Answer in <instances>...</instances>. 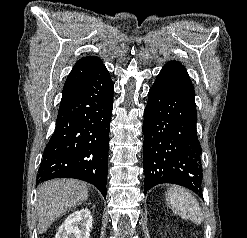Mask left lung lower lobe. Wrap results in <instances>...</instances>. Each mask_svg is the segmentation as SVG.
I'll use <instances>...</instances> for the list:
<instances>
[{
	"label": "left lung lower lobe",
	"instance_id": "left-lung-lower-lobe-1",
	"mask_svg": "<svg viewBox=\"0 0 247 238\" xmlns=\"http://www.w3.org/2000/svg\"><path fill=\"white\" fill-rule=\"evenodd\" d=\"M194 87L178 61L165 64L148 93L143 123L145 192L161 183L202 196L201 146Z\"/></svg>",
	"mask_w": 247,
	"mask_h": 238
}]
</instances>
